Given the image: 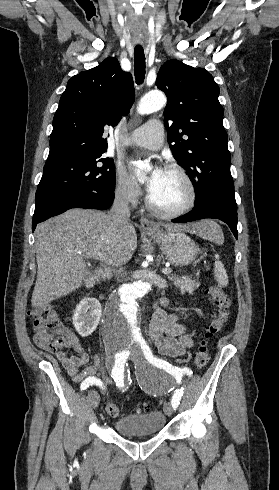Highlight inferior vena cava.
<instances>
[{
	"label": "inferior vena cava",
	"instance_id": "obj_1",
	"mask_svg": "<svg viewBox=\"0 0 279 490\" xmlns=\"http://www.w3.org/2000/svg\"><path fill=\"white\" fill-rule=\"evenodd\" d=\"M130 194L127 188L120 190L115 196L113 206L109 212V216L114 226H128L130 218V210L128 208ZM121 266V264H117ZM117 282H121L125 278L123 270H118L117 276H115ZM121 278V280H120Z\"/></svg>",
	"mask_w": 279,
	"mask_h": 490
}]
</instances>
